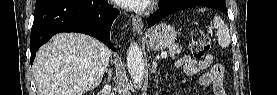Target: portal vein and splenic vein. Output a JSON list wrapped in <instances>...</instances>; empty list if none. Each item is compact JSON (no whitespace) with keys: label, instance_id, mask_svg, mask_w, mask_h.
<instances>
[{"label":"portal vein and splenic vein","instance_id":"obj_1","mask_svg":"<svg viewBox=\"0 0 277 95\" xmlns=\"http://www.w3.org/2000/svg\"><path fill=\"white\" fill-rule=\"evenodd\" d=\"M161 57H162V58H166V57H167V52H166V51L162 52V53H161Z\"/></svg>","mask_w":277,"mask_h":95}]
</instances>
